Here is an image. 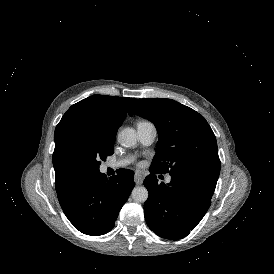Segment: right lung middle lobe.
Returning a JSON list of instances; mask_svg holds the SVG:
<instances>
[{"instance_id":"dd1d6c3e","label":"right lung middle lobe","mask_w":274,"mask_h":274,"mask_svg":"<svg viewBox=\"0 0 274 274\" xmlns=\"http://www.w3.org/2000/svg\"><path fill=\"white\" fill-rule=\"evenodd\" d=\"M117 127H91L67 139L60 160L75 176L99 171V160L114 153Z\"/></svg>"}]
</instances>
